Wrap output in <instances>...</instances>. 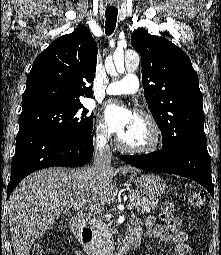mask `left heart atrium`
<instances>
[{"instance_id": "39dd6f15", "label": "left heart atrium", "mask_w": 221, "mask_h": 255, "mask_svg": "<svg viewBox=\"0 0 221 255\" xmlns=\"http://www.w3.org/2000/svg\"><path fill=\"white\" fill-rule=\"evenodd\" d=\"M133 113L123 105L109 104L104 110V119L110 132L120 135L130 125Z\"/></svg>"}]
</instances>
